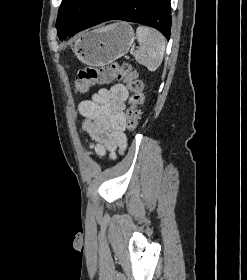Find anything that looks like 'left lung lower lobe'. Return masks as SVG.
Instances as JSON below:
<instances>
[{
    "mask_svg": "<svg viewBox=\"0 0 247 280\" xmlns=\"http://www.w3.org/2000/svg\"><path fill=\"white\" fill-rule=\"evenodd\" d=\"M170 10V0H102L82 24L65 33L63 39L105 21L124 20L154 27L169 40L172 24Z\"/></svg>",
    "mask_w": 247,
    "mask_h": 280,
    "instance_id": "0a47b994",
    "label": "left lung lower lobe"
}]
</instances>
